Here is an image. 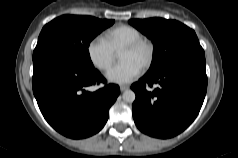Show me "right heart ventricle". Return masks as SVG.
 I'll list each match as a JSON object with an SVG mask.
<instances>
[{
    "label": "right heart ventricle",
    "mask_w": 238,
    "mask_h": 158,
    "mask_svg": "<svg viewBox=\"0 0 238 158\" xmlns=\"http://www.w3.org/2000/svg\"><path fill=\"white\" fill-rule=\"evenodd\" d=\"M142 37V33L135 27L119 25L105 33V40L115 52H119L126 44Z\"/></svg>",
    "instance_id": "obj_1"
}]
</instances>
